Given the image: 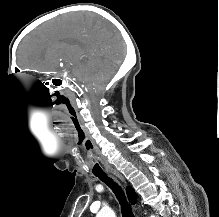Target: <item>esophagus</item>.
<instances>
[{
    "label": "esophagus",
    "mask_w": 219,
    "mask_h": 217,
    "mask_svg": "<svg viewBox=\"0 0 219 217\" xmlns=\"http://www.w3.org/2000/svg\"><path fill=\"white\" fill-rule=\"evenodd\" d=\"M108 173L113 176L115 179L119 180L120 182H122L125 186L127 185L124 177L118 172L116 171L115 169L113 168H109L108 170Z\"/></svg>",
    "instance_id": "1"
}]
</instances>
